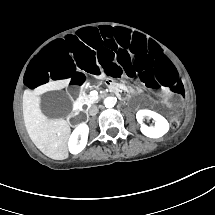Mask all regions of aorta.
<instances>
[{
	"label": "aorta",
	"instance_id": "aorta-1",
	"mask_svg": "<svg viewBox=\"0 0 215 215\" xmlns=\"http://www.w3.org/2000/svg\"><path fill=\"white\" fill-rule=\"evenodd\" d=\"M117 100L115 97L109 96L105 99V105L107 107H113L116 104Z\"/></svg>",
	"mask_w": 215,
	"mask_h": 215
}]
</instances>
